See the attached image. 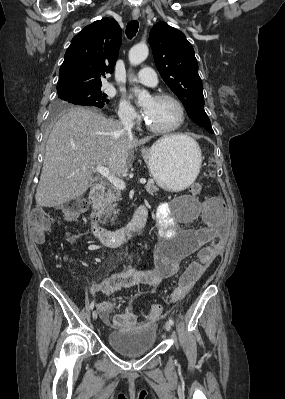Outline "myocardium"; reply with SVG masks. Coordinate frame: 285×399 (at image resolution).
<instances>
[{
    "label": "myocardium",
    "instance_id": "1",
    "mask_svg": "<svg viewBox=\"0 0 285 399\" xmlns=\"http://www.w3.org/2000/svg\"><path fill=\"white\" fill-rule=\"evenodd\" d=\"M153 99L154 100H171V101L175 102L178 105L179 109H180L181 119L176 125H174L172 127L158 128V127L154 126L153 124H151L147 120V118L145 117L144 118V122H145L146 127L150 131H152L154 133H159V134H167V133H171V132L177 131L184 124V122L186 120V109H185V106L182 103V101L179 98H177L176 96L168 94V93L157 94V95H155L153 97Z\"/></svg>",
    "mask_w": 285,
    "mask_h": 399
}]
</instances>
